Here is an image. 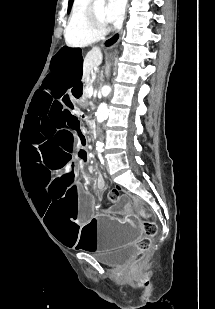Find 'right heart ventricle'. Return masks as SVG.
<instances>
[{"label": "right heart ventricle", "instance_id": "e07e8e85", "mask_svg": "<svg viewBox=\"0 0 215 309\" xmlns=\"http://www.w3.org/2000/svg\"><path fill=\"white\" fill-rule=\"evenodd\" d=\"M73 10L67 23H64L65 43L69 48H83L88 42H96V33L91 31L87 15Z\"/></svg>", "mask_w": 215, "mask_h": 309}]
</instances>
